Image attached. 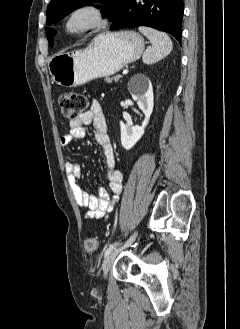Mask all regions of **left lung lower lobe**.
Returning a JSON list of instances; mask_svg holds the SVG:
<instances>
[{"mask_svg":"<svg viewBox=\"0 0 240 329\" xmlns=\"http://www.w3.org/2000/svg\"><path fill=\"white\" fill-rule=\"evenodd\" d=\"M183 14V0H126L110 29L148 26L170 33L181 42Z\"/></svg>","mask_w":240,"mask_h":329,"instance_id":"left-lung-lower-lobe-1","label":"left lung lower lobe"}]
</instances>
